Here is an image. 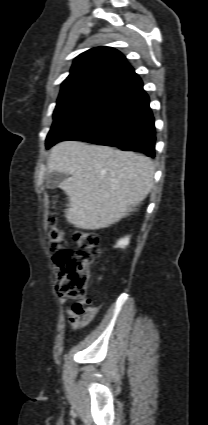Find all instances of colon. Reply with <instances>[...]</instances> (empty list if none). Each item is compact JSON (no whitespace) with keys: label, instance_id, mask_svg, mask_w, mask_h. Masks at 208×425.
<instances>
[{"label":"colon","instance_id":"obj_1","mask_svg":"<svg viewBox=\"0 0 208 425\" xmlns=\"http://www.w3.org/2000/svg\"><path fill=\"white\" fill-rule=\"evenodd\" d=\"M46 243L53 253L61 295L77 299L80 308L86 306L90 269L100 247L99 236L93 231H78L75 234L77 250H68L65 248L63 230L57 219L51 217L48 220Z\"/></svg>","mask_w":208,"mask_h":425}]
</instances>
